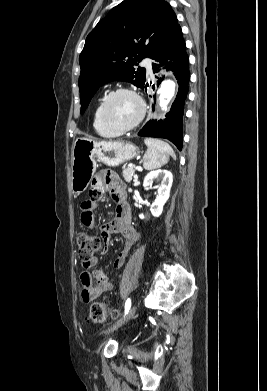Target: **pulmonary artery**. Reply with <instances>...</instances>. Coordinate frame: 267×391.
<instances>
[{
	"label": "pulmonary artery",
	"mask_w": 267,
	"mask_h": 391,
	"mask_svg": "<svg viewBox=\"0 0 267 391\" xmlns=\"http://www.w3.org/2000/svg\"><path fill=\"white\" fill-rule=\"evenodd\" d=\"M142 65L147 69L149 74H152V61L150 58H145L142 61Z\"/></svg>",
	"instance_id": "1"
}]
</instances>
